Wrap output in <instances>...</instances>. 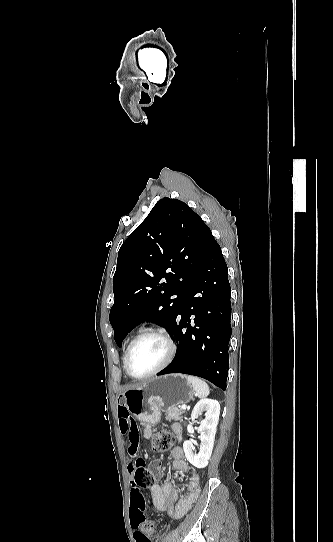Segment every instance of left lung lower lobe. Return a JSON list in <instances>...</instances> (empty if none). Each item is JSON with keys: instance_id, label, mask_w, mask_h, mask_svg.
<instances>
[{"instance_id": "obj_1", "label": "left lung lower lobe", "mask_w": 333, "mask_h": 542, "mask_svg": "<svg viewBox=\"0 0 333 542\" xmlns=\"http://www.w3.org/2000/svg\"><path fill=\"white\" fill-rule=\"evenodd\" d=\"M231 288L227 265L213 239L183 299L172 334L178 342L173 361L157 375L184 373L226 390L231 336ZM191 315H195L193 320Z\"/></svg>"}]
</instances>
